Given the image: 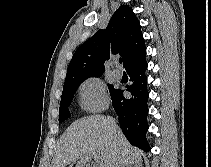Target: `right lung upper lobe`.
<instances>
[{
	"mask_svg": "<svg viewBox=\"0 0 211 167\" xmlns=\"http://www.w3.org/2000/svg\"><path fill=\"white\" fill-rule=\"evenodd\" d=\"M117 53L123 57L125 69L146 55L140 23L128 5H121L106 29L99 30L76 50L64 84L101 76L104 62Z\"/></svg>",
	"mask_w": 211,
	"mask_h": 167,
	"instance_id": "cb5924a9",
	"label": "right lung upper lobe"
}]
</instances>
